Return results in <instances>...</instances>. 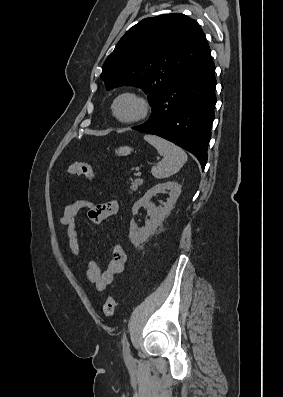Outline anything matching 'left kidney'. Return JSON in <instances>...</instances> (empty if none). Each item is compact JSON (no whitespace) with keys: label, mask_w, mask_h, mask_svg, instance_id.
I'll list each match as a JSON object with an SVG mask.
<instances>
[{"label":"left kidney","mask_w":283,"mask_h":397,"mask_svg":"<svg viewBox=\"0 0 283 397\" xmlns=\"http://www.w3.org/2000/svg\"><path fill=\"white\" fill-rule=\"evenodd\" d=\"M169 191V198L163 206L156 207L151 203V198L158 193ZM181 192V185L177 182H166L157 184L149 189L145 195L134 203L132 207L133 215H136L138 210L144 206L150 216V220L146 222V225L141 229L137 228L134 219L130 222L129 237L130 241L134 246H139L144 243L150 235H152L156 229L162 224L164 219L170 214L175 202L177 201Z\"/></svg>","instance_id":"1"}]
</instances>
